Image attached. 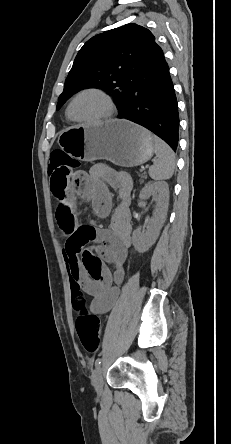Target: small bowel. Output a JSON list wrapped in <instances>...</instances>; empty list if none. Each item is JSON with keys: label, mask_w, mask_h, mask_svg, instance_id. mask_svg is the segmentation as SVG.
Wrapping results in <instances>:
<instances>
[{"label": "small bowel", "mask_w": 231, "mask_h": 444, "mask_svg": "<svg viewBox=\"0 0 231 444\" xmlns=\"http://www.w3.org/2000/svg\"><path fill=\"white\" fill-rule=\"evenodd\" d=\"M108 186L117 189L120 197L109 227L94 229L93 235H79L76 198L89 200L96 215L106 217L112 201ZM51 189L59 201L56 223L65 240L63 253L71 287L79 285L91 298L89 307L93 314H104L115 304L125 275L124 265L131 246L132 181L108 166L95 165L89 173H77L58 187L51 180ZM91 244L96 246L88 247Z\"/></svg>", "instance_id": "obj_1"}]
</instances>
